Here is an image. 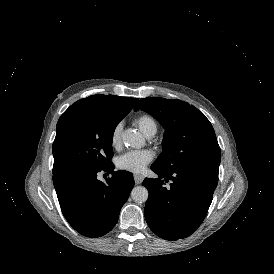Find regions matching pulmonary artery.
I'll use <instances>...</instances> for the list:
<instances>
[{"instance_id": "e3ab8cb5", "label": "pulmonary artery", "mask_w": 274, "mask_h": 274, "mask_svg": "<svg viewBox=\"0 0 274 274\" xmlns=\"http://www.w3.org/2000/svg\"><path fill=\"white\" fill-rule=\"evenodd\" d=\"M157 128L156 126L149 129L144 135L147 139H152L156 134Z\"/></svg>"}]
</instances>
